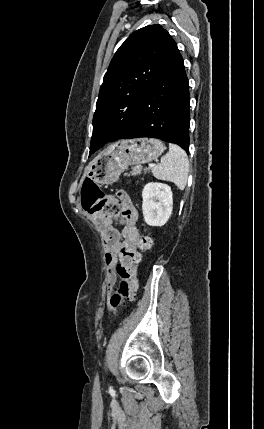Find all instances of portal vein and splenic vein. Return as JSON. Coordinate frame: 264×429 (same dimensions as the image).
<instances>
[{
  "label": "portal vein and splenic vein",
  "mask_w": 264,
  "mask_h": 429,
  "mask_svg": "<svg viewBox=\"0 0 264 429\" xmlns=\"http://www.w3.org/2000/svg\"><path fill=\"white\" fill-rule=\"evenodd\" d=\"M158 164H154V163H150L149 165H148V168H154L155 166H157Z\"/></svg>",
  "instance_id": "18ae733b"
}]
</instances>
